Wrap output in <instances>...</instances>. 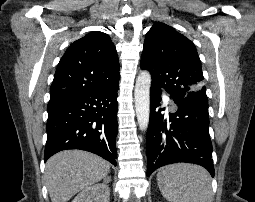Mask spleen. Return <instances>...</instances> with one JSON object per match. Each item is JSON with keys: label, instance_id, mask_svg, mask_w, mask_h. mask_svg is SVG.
I'll return each instance as SVG.
<instances>
[{"label": "spleen", "instance_id": "obj_1", "mask_svg": "<svg viewBox=\"0 0 255 202\" xmlns=\"http://www.w3.org/2000/svg\"><path fill=\"white\" fill-rule=\"evenodd\" d=\"M157 182L161 194L170 202H210L211 178L198 165L165 166L159 170Z\"/></svg>", "mask_w": 255, "mask_h": 202}]
</instances>
